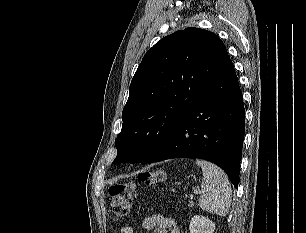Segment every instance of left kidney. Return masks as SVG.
<instances>
[{
	"label": "left kidney",
	"mask_w": 306,
	"mask_h": 233,
	"mask_svg": "<svg viewBox=\"0 0 306 233\" xmlns=\"http://www.w3.org/2000/svg\"><path fill=\"white\" fill-rule=\"evenodd\" d=\"M190 233H213L215 224L205 216L195 215L189 225Z\"/></svg>",
	"instance_id": "5707ae66"
}]
</instances>
